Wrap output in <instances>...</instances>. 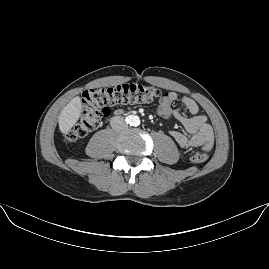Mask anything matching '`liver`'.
Here are the masks:
<instances>
[{"label":"liver","mask_w":269,"mask_h":269,"mask_svg":"<svg viewBox=\"0 0 269 269\" xmlns=\"http://www.w3.org/2000/svg\"><path fill=\"white\" fill-rule=\"evenodd\" d=\"M81 111V100L79 97L73 98L61 111L59 116V128L62 132H68L76 122Z\"/></svg>","instance_id":"6515ba94"}]
</instances>
